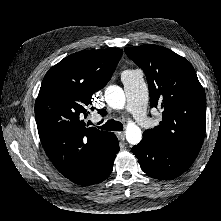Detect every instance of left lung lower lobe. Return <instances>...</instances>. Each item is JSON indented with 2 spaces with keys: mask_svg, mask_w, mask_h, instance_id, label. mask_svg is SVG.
I'll return each instance as SVG.
<instances>
[{
  "mask_svg": "<svg viewBox=\"0 0 221 221\" xmlns=\"http://www.w3.org/2000/svg\"><path fill=\"white\" fill-rule=\"evenodd\" d=\"M142 170L150 177L171 180L184 173L195 156L165 143L140 142L132 148Z\"/></svg>",
  "mask_w": 221,
  "mask_h": 221,
  "instance_id": "obj_1",
  "label": "left lung lower lobe"
}]
</instances>
